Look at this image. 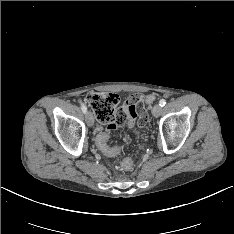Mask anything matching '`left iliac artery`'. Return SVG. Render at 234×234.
I'll return each instance as SVG.
<instances>
[{
  "label": "left iliac artery",
  "instance_id": "left-iliac-artery-1",
  "mask_svg": "<svg viewBox=\"0 0 234 234\" xmlns=\"http://www.w3.org/2000/svg\"><path fill=\"white\" fill-rule=\"evenodd\" d=\"M165 104H166V100L161 99V100L159 101V105H160L161 107H163Z\"/></svg>",
  "mask_w": 234,
  "mask_h": 234
}]
</instances>
